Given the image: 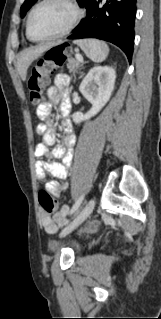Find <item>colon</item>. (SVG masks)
Returning a JSON list of instances; mask_svg holds the SVG:
<instances>
[{"label":"colon","instance_id":"5ec220e1","mask_svg":"<svg viewBox=\"0 0 161 319\" xmlns=\"http://www.w3.org/2000/svg\"><path fill=\"white\" fill-rule=\"evenodd\" d=\"M73 50L68 44H58L49 49L38 61L28 78V89L30 98L37 103L41 99L44 87L49 83V73L61 67L72 55ZM38 201L41 208L46 212H52L56 206V201L51 194L43 189L38 194Z\"/></svg>","mask_w":161,"mask_h":319}]
</instances>
